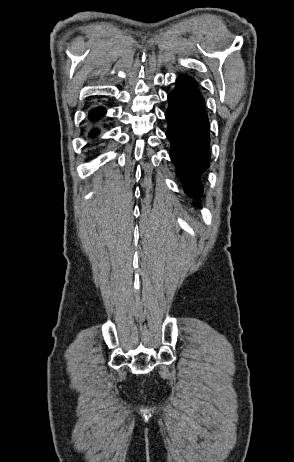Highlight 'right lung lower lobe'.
<instances>
[{
	"label": "right lung lower lobe",
	"mask_w": 294,
	"mask_h": 462,
	"mask_svg": "<svg viewBox=\"0 0 294 462\" xmlns=\"http://www.w3.org/2000/svg\"><path fill=\"white\" fill-rule=\"evenodd\" d=\"M104 114H105V109L102 107H98L90 111L89 117L91 120H96L102 117ZM96 134H97L96 131L91 132V136H95Z\"/></svg>",
	"instance_id": "right-lung-lower-lobe-1"
}]
</instances>
